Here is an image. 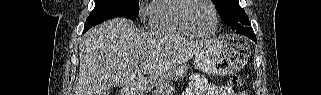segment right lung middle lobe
Segmentation results:
<instances>
[{"mask_svg":"<svg viewBox=\"0 0 321 95\" xmlns=\"http://www.w3.org/2000/svg\"><path fill=\"white\" fill-rule=\"evenodd\" d=\"M138 7L139 0H95V8L86 19L84 32L115 17L135 20L139 13Z\"/></svg>","mask_w":321,"mask_h":95,"instance_id":"1","label":"right lung middle lobe"}]
</instances>
